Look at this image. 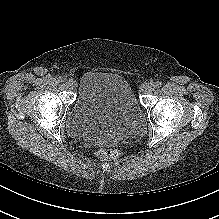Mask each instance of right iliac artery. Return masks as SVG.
I'll list each match as a JSON object with an SVG mask.
<instances>
[{"instance_id": "right-iliac-artery-1", "label": "right iliac artery", "mask_w": 219, "mask_h": 219, "mask_svg": "<svg viewBox=\"0 0 219 219\" xmlns=\"http://www.w3.org/2000/svg\"><path fill=\"white\" fill-rule=\"evenodd\" d=\"M58 81H59V82H64L65 79H64L62 76H59V77H58Z\"/></svg>"}]
</instances>
